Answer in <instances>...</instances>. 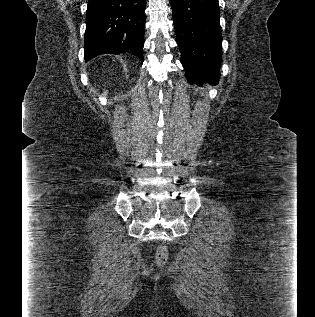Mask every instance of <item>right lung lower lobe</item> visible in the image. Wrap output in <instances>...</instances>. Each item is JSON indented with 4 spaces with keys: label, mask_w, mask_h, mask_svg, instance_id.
Masks as SVG:
<instances>
[{
    "label": "right lung lower lobe",
    "mask_w": 315,
    "mask_h": 317,
    "mask_svg": "<svg viewBox=\"0 0 315 317\" xmlns=\"http://www.w3.org/2000/svg\"><path fill=\"white\" fill-rule=\"evenodd\" d=\"M146 0H89L85 61L99 54L132 53L143 62Z\"/></svg>",
    "instance_id": "right-lung-lower-lobe-1"
}]
</instances>
